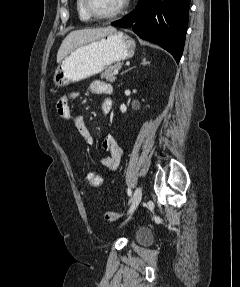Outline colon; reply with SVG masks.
Listing matches in <instances>:
<instances>
[{
    "label": "colon",
    "mask_w": 240,
    "mask_h": 287,
    "mask_svg": "<svg viewBox=\"0 0 240 287\" xmlns=\"http://www.w3.org/2000/svg\"><path fill=\"white\" fill-rule=\"evenodd\" d=\"M85 179H86L88 185L91 188H95L96 189V188L101 187L102 184H103V175L97 169H88L85 172ZM104 218L107 221L114 222V221H117L120 218V214H118V213H116L114 211H106L104 213Z\"/></svg>",
    "instance_id": "colon-1"
}]
</instances>
